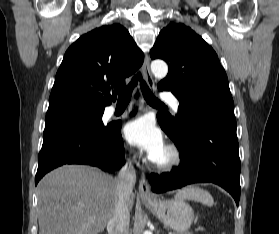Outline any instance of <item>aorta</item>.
<instances>
[{
    "mask_svg": "<svg viewBox=\"0 0 279 234\" xmlns=\"http://www.w3.org/2000/svg\"><path fill=\"white\" fill-rule=\"evenodd\" d=\"M151 71L156 78L163 79L168 73V66L163 60H154L151 63ZM143 234L149 233L144 232Z\"/></svg>",
    "mask_w": 279,
    "mask_h": 234,
    "instance_id": "obj_1",
    "label": "aorta"
}]
</instances>
